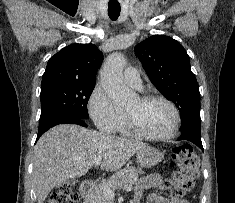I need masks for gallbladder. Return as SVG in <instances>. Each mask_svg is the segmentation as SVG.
I'll return each mask as SVG.
<instances>
[{
	"instance_id": "obj_1",
	"label": "gallbladder",
	"mask_w": 235,
	"mask_h": 203,
	"mask_svg": "<svg viewBox=\"0 0 235 203\" xmlns=\"http://www.w3.org/2000/svg\"><path fill=\"white\" fill-rule=\"evenodd\" d=\"M75 181L73 179H70V180H61L60 181V184L61 185H71V184H74Z\"/></svg>"
}]
</instances>
